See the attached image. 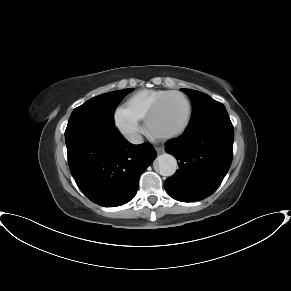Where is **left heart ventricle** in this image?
Instances as JSON below:
<instances>
[{"label": "left heart ventricle", "mask_w": 291, "mask_h": 291, "mask_svg": "<svg viewBox=\"0 0 291 291\" xmlns=\"http://www.w3.org/2000/svg\"><path fill=\"white\" fill-rule=\"evenodd\" d=\"M187 106L185 100L177 95L168 97L152 121L155 132L166 134L179 129L186 121Z\"/></svg>", "instance_id": "1"}]
</instances>
